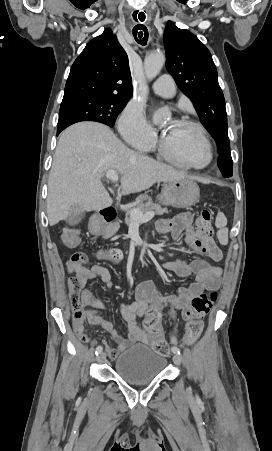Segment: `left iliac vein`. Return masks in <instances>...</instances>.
<instances>
[{
	"mask_svg": "<svg viewBox=\"0 0 272 451\" xmlns=\"http://www.w3.org/2000/svg\"><path fill=\"white\" fill-rule=\"evenodd\" d=\"M173 360H174V363H175V364H177V365H180V364H181V358H180L179 355L176 354V355L173 357Z\"/></svg>",
	"mask_w": 272,
	"mask_h": 451,
	"instance_id": "left-iliac-vein-1",
	"label": "left iliac vein"
}]
</instances>
